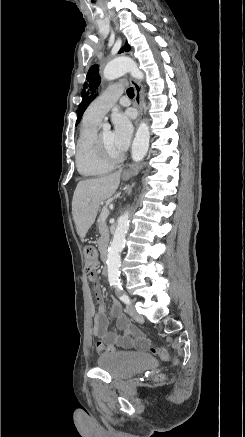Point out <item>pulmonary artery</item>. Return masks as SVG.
I'll list each match as a JSON object with an SVG mask.
<instances>
[{
	"mask_svg": "<svg viewBox=\"0 0 245 437\" xmlns=\"http://www.w3.org/2000/svg\"><path fill=\"white\" fill-rule=\"evenodd\" d=\"M122 93V84L116 83L110 85L88 106L85 111V117L100 122Z\"/></svg>",
	"mask_w": 245,
	"mask_h": 437,
	"instance_id": "1",
	"label": "pulmonary artery"
}]
</instances>
